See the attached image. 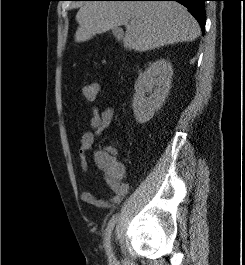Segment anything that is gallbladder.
<instances>
[{"label":"gallbladder","instance_id":"obj_1","mask_svg":"<svg viewBox=\"0 0 245 265\" xmlns=\"http://www.w3.org/2000/svg\"><path fill=\"white\" fill-rule=\"evenodd\" d=\"M112 33H113V35L114 36H117V35H119V34H122V30L120 29V28H113L112 29Z\"/></svg>","mask_w":245,"mask_h":265}]
</instances>
